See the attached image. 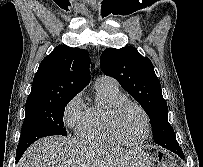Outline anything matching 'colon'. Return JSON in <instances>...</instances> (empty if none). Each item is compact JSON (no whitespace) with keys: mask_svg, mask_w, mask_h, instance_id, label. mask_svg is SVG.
Returning <instances> with one entry per match:
<instances>
[{"mask_svg":"<svg viewBox=\"0 0 203 167\" xmlns=\"http://www.w3.org/2000/svg\"><path fill=\"white\" fill-rule=\"evenodd\" d=\"M158 167H177L174 159L166 153H159Z\"/></svg>","mask_w":203,"mask_h":167,"instance_id":"obj_1","label":"colon"}]
</instances>
